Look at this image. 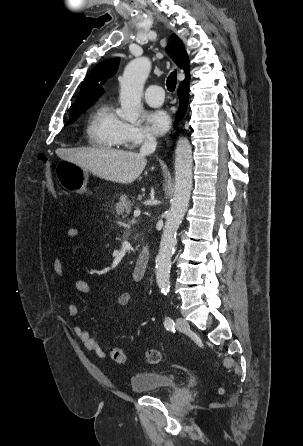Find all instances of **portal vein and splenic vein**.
Returning <instances> with one entry per match:
<instances>
[{"mask_svg": "<svg viewBox=\"0 0 303 446\" xmlns=\"http://www.w3.org/2000/svg\"><path fill=\"white\" fill-rule=\"evenodd\" d=\"M138 216H140V210L139 209L134 211V217H138Z\"/></svg>", "mask_w": 303, "mask_h": 446, "instance_id": "18ae733b", "label": "portal vein and splenic vein"}]
</instances>
